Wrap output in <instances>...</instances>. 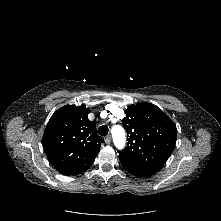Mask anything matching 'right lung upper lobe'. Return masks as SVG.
<instances>
[{
	"label": "right lung upper lobe",
	"mask_w": 221,
	"mask_h": 221,
	"mask_svg": "<svg viewBox=\"0 0 221 221\" xmlns=\"http://www.w3.org/2000/svg\"><path fill=\"white\" fill-rule=\"evenodd\" d=\"M84 105H67L50 118L42 144L55 169L67 176L87 171L104 141L96 133V124L88 119Z\"/></svg>",
	"instance_id": "obj_1"
}]
</instances>
